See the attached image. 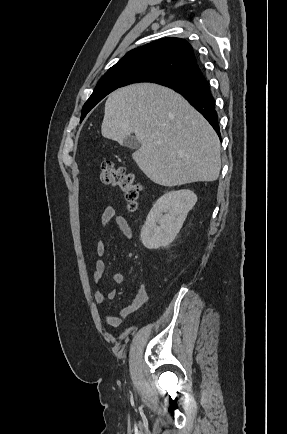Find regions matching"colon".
<instances>
[{"mask_svg":"<svg viewBox=\"0 0 287 434\" xmlns=\"http://www.w3.org/2000/svg\"><path fill=\"white\" fill-rule=\"evenodd\" d=\"M100 178L105 185L123 193L130 210L137 208L142 184L135 180L132 173L122 167H115L112 162H104L101 165Z\"/></svg>","mask_w":287,"mask_h":434,"instance_id":"5ec220e1","label":"colon"}]
</instances>
